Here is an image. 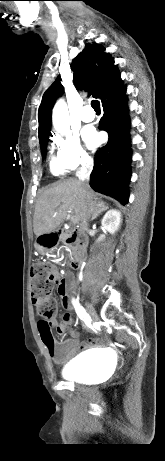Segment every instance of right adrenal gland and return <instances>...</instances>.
<instances>
[{"instance_id":"1","label":"right adrenal gland","mask_w":165,"mask_h":461,"mask_svg":"<svg viewBox=\"0 0 165 461\" xmlns=\"http://www.w3.org/2000/svg\"><path fill=\"white\" fill-rule=\"evenodd\" d=\"M107 209H108V206H104L103 209L101 210V212H103V211H105V210H107ZM101 212H99L98 214L94 215V216L92 217L91 220H92V221L95 220V219L99 216V214H100Z\"/></svg>"}]
</instances>
